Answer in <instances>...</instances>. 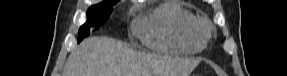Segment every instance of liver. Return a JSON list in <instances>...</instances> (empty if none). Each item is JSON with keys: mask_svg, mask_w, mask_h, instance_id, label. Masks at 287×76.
Listing matches in <instances>:
<instances>
[{"mask_svg": "<svg viewBox=\"0 0 287 76\" xmlns=\"http://www.w3.org/2000/svg\"><path fill=\"white\" fill-rule=\"evenodd\" d=\"M198 64V59L139 53L116 39L91 37L69 55L65 76H188Z\"/></svg>", "mask_w": 287, "mask_h": 76, "instance_id": "obj_1", "label": "liver"}]
</instances>
